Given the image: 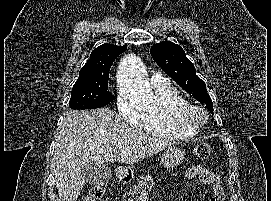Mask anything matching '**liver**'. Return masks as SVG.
Wrapping results in <instances>:
<instances>
[{
	"label": "liver",
	"mask_w": 271,
	"mask_h": 201,
	"mask_svg": "<svg viewBox=\"0 0 271 201\" xmlns=\"http://www.w3.org/2000/svg\"><path fill=\"white\" fill-rule=\"evenodd\" d=\"M126 124L110 108L68 111L55 138L54 173L58 201H76L85 185L81 174L89 163L134 164L170 147Z\"/></svg>",
	"instance_id": "1"
}]
</instances>
